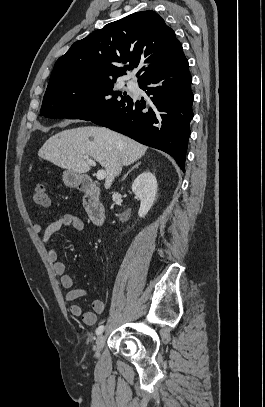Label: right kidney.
<instances>
[{"mask_svg":"<svg viewBox=\"0 0 265 407\" xmlns=\"http://www.w3.org/2000/svg\"><path fill=\"white\" fill-rule=\"evenodd\" d=\"M132 191L141 201L138 215L143 218L151 209L156 198L157 180L155 175L149 171L139 174L132 183Z\"/></svg>","mask_w":265,"mask_h":407,"instance_id":"obj_1","label":"right kidney"}]
</instances>
